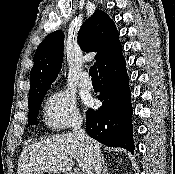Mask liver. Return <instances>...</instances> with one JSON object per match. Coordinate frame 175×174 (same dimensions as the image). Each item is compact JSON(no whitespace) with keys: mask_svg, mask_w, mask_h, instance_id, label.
Returning <instances> with one entry per match:
<instances>
[{"mask_svg":"<svg viewBox=\"0 0 175 174\" xmlns=\"http://www.w3.org/2000/svg\"><path fill=\"white\" fill-rule=\"evenodd\" d=\"M92 141L100 150V143ZM72 158L77 160L82 174H88L91 167L89 153L85 144L74 133L48 137L23 149L17 174L65 173L74 166Z\"/></svg>","mask_w":175,"mask_h":174,"instance_id":"obj_1","label":"liver"}]
</instances>
